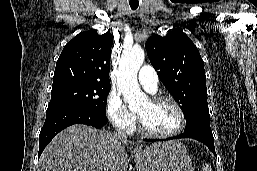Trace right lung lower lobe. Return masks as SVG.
Masks as SVG:
<instances>
[{
  "instance_id": "obj_1",
  "label": "right lung lower lobe",
  "mask_w": 257,
  "mask_h": 171,
  "mask_svg": "<svg viewBox=\"0 0 257 171\" xmlns=\"http://www.w3.org/2000/svg\"><path fill=\"white\" fill-rule=\"evenodd\" d=\"M107 123L106 116H102L85 107L78 105H62L47 108L46 120L39 134L38 158L54 136L73 124H86L101 128Z\"/></svg>"
}]
</instances>
